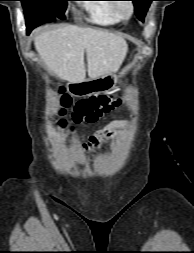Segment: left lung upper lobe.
I'll list each match as a JSON object with an SVG mask.
<instances>
[{"label":"left lung upper lobe","mask_w":194,"mask_h":253,"mask_svg":"<svg viewBox=\"0 0 194 253\" xmlns=\"http://www.w3.org/2000/svg\"><path fill=\"white\" fill-rule=\"evenodd\" d=\"M134 3L135 13L139 20L144 21L147 10L154 0H131Z\"/></svg>","instance_id":"obj_1"}]
</instances>
